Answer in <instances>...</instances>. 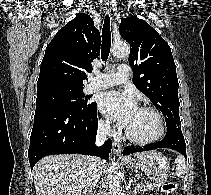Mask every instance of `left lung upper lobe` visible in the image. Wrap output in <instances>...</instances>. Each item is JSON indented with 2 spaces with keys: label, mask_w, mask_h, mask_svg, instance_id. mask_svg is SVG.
I'll use <instances>...</instances> for the list:
<instances>
[{
  "label": "left lung upper lobe",
  "mask_w": 211,
  "mask_h": 195,
  "mask_svg": "<svg viewBox=\"0 0 211 195\" xmlns=\"http://www.w3.org/2000/svg\"><path fill=\"white\" fill-rule=\"evenodd\" d=\"M119 32L131 45L129 65L135 86L163 113L167 131L181 128L179 83L168 43L136 16L123 18Z\"/></svg>",
  "instance_id": "5c2ea615"
}]
</instances>
